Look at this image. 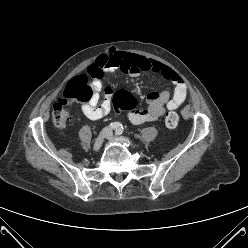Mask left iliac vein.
Returning <instances> with one entry per match:
<instances>
[{
  "instance_id": "1",
  "label": "left iliac vein",
  "mask_w": 248,
  "mask_h": 248,
  "mask_svg": "<svg viewBox=\"0 0 248 248\" xmlns=\"http://www.w3.org/2000/svg\"><path fill=\"white\" fill-rule=\"evenodd\" d=\"M106 139L110 142H119L120 141V139L113 136L111 131H108Z\"/></svg>"
}]
</instances>
